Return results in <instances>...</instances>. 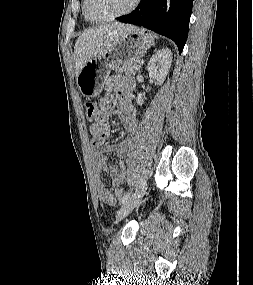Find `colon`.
Segmentation results:
<instances>
[{"mask_svg": "<svg viewBox=\"0 0 253 285\" xmlns=\"http://www.w3.org/2000/svg\"><path fill=\"white\" fill-rule=\"evenodd\" d=\"M85 110H86V117L91 120L95 117L96 114V105L93 103H86L85 104ZM117 193L122 196L124 193V190L122 188L117 189Z\"/></svg>", "mask_w": 253, "mask_h": 285, "instance_id": "colon-1", "label": "colon"}]
</instances>
